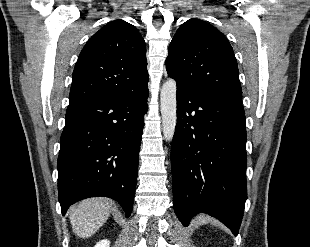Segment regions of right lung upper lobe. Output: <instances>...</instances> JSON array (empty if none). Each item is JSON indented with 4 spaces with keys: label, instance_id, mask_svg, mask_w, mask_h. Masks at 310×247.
Here are the masks:
<instances>
[{
    "label": "right lung upper lobe",
    "instance_id": "right-lung-upper-lobe-1",
    "mask_svg": "<svg viewBox=\"0 0 310 247\" xmlns=\"http://www.w3.org/2000/svg\"><path fill=\"white\" fill-rule=\"evenodd\" d=\"M145 41L128 22H109L86 43L73 71L70 102L137 92L147 86Z\"/></svg>",
    "mask_w": 310,
    "mask_h": 247
}]
</instances>
